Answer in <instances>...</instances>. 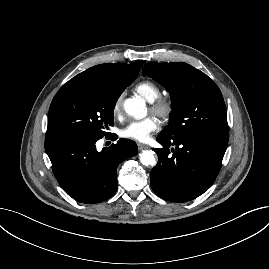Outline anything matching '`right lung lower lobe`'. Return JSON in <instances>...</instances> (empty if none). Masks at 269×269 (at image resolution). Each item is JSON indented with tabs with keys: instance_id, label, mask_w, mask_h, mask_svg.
<instances>
[{
	"instance_id": "right-lung-lower-lobe-1",
	"label": "right lung lower lobe",
	"mask_w": 269,
	"mask_h": 269,
	"mask_svg": "<svg viewBox=\"0 0 269 269\" xmlns=\"http://www.w3.org/2000/svg\"><path fill=\"white\" fill-rule=\"evenodd\" d=\"M99 139L77 135L46 138L45 150L61 188L74 200L95 204L111 198L117 190V167L135 156L134 141L120 139L96 150Z\"/></svg>"
}]
</instances>
